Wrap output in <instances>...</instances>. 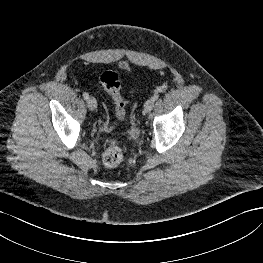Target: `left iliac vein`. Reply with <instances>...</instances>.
<instances>
[{"label":"left iliac vein","instance_id":"left-iliac-vein-1","mask_svg":"<svg viewBox=\"0 0 263 263\" xmlns=\"http://www.w3.org/2000/svg\"><path fill=\"white\" fill-rule=\"evenodd\" d=\"M154 107V101L153 99H149L144 104V111L145 113H149Z\"/></svg>","mask_w":263,"mask_h":263}]
</instances>
